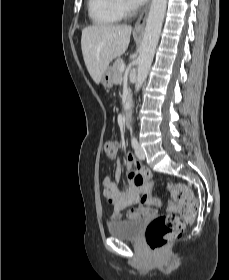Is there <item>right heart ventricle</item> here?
<instances>
[{
    "label": "right heart ventricle",
    "mask_w": 229,
    "mask_h": 280,
    "mask_svg": "<svg viewBox=\"0 0 229 280\" xmlns=\"http://www.w3.org/2000/svg\"><path fill=\"white\" fill-rule=\"evenodd\" d=\"M88 15L91 22L99 27H109L123 16L117 0H88Z\"/></svg>",
    "instance_id": "right-heart-ventricle-1"
}]
</instances>
